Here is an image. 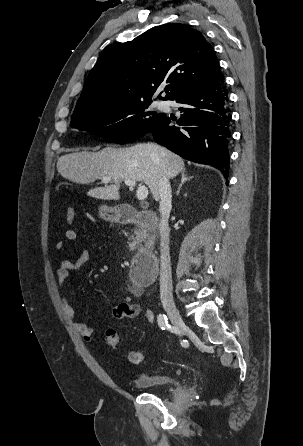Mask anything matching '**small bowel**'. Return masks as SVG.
<instances>
[{
	"label": "small bowel",
	"mask_w": 303,
	"mask_h": 446,
	"mask_svg": "<svg viewBox=\"0 0 303 446\" xmlns=\"http://www.w3.org/2000/svg\"><path fill=\"white\" fill-rule=\"evenodd\" d=\"M65 238L68 241H75L77 239V233L73 229L65 231ZM65 242L60 240L56 243L57 250H63L65 248ZM91 259V251L88 249L83 250L75 260L63 259L59 263L57 269V281L60 290V300L65 315L73 322L75 329L86 341L93 340V328L88 324L78 321L76 318L75 310L69 303L67 295L65 293V282L69 277L71 271L79 270ZM130 293L133 296H139L141 289L138 287H131ZM126 295L123 297V301L115 305L112 309V315L116 319H131L139 315H142L149 323H153L155 320L154 314L149 309H142V307L133 302L132 296Z\"/></svg>",
	"instance_id": "c3829d8e"
}]
</instances>
